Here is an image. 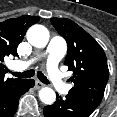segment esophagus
Masks as SVG:
<instances>
[{"label":"esophagus","mask_w":117,"mask_h":117,"mask_svg":"<svg viewBox=\"0 0 117 117\" xmlns=\"http://www.w3.org/2000/svg\"><path fill=\"white\" fill-rule=\"evenodd\" d=\"M44 86V84L40 81H36V88L39 89V88H42Z\"/></svg>","instance_id":"34e87169"}]
</instances>
